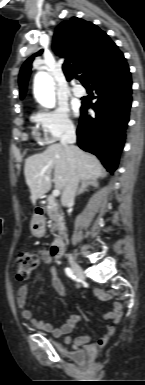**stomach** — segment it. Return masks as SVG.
I'll return each instance as SVG.
<instances>
[{
  "label": "stomach",
  "mask_w": 145,
  "mask_h": 385,
  "mask_svg": "<svg viewBox=\"0 0 145 385\" xmlns=\"http://www.w3.org/2000/svg\"><path fill=\"white\" fill-rule=\"evenodd\" d=\"M43 231H44L43 227H41L40 230H37V229H35V223H32V225H31V232H32L33 235L41 236L43 234Z\"/></svg>",
  "instance_id": "0dacf381"
}]
</instances>
